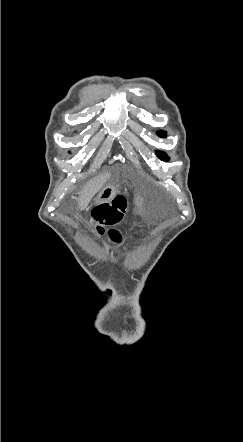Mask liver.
Segmentation results:
<instances>
[{
	"label": "liver",
	"mask_w": 243,
	"mask_h": 442,
	"mask_svg": "<svg viewBox=\"0 0 243 442\" xmlns=\"http://www.w3.org/2000/svg\"><path fill=\"white\" fill-rule=\"evenodd\" d=\"M110 174L105 173L93 180H90L79 193L78 207L82 211L87 208L88 204L92 200L95 194H97L102 188L104 183L109 179Z\"/></svg>",
	"instance_id": "liver-1"
}]
</instances>
